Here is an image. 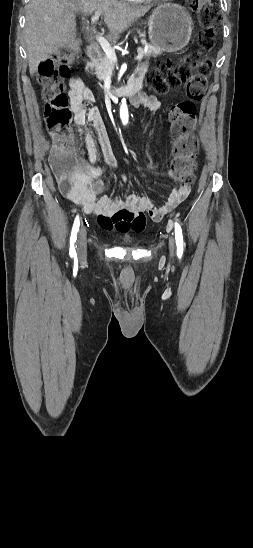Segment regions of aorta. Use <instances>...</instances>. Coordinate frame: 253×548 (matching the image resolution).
Segmentation results:
<instances>
[{"label":"aorta","instance_id":"1","mask_svg":"<svg viewBox=\"0 0 253 548\" xmlns=\"http://www.w3.org/2000/svg\"><path fill=\"white\" fill-rule=\"evenodd\" d=\"M120 113H121L122 119H123L124 121H126L127 118H128V110H127V105H126L125 100L122 101Z\"/></svg>","mask_w":253,"mask_h":548}]
</instances>
